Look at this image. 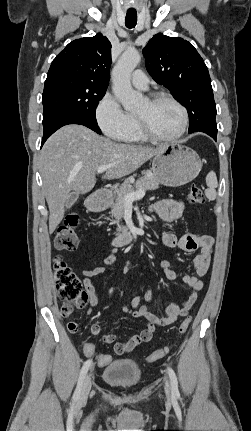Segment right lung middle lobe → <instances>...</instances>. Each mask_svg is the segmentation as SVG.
<instances>
[{"label": "right lung middle lobe", "instance_id": "1", "mask_svg": "<svg viewBox=\"0 0 251 431\" xmlns=\"http://www.w3.org/2000/svg\"><path fill=\"white\" fill-rule=\"evenodd\" d=\"M106 90L107 86L82 77L48 74L42 95L43 123L60 114H75L96 121V107Z\"/></svg>", "mask_w": 251, "mask_h": 431}]
</instances>
